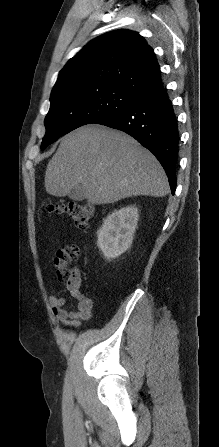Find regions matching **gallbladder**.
Returning a JSON list of instances; mask_svg holds the SVG:
<instances>
[{"mask_svg":"<svg viewBox=\"0 0 219 447\" xmlns=\"http://www.w3.org/2000/svg\"><path fill=\"white\" fill-rule=\"evenodd\" d=\"M68 197L74 201H83L86 199L85 189L82 185L74 187L68 194Z\"/></svg>","mask_w":219,"mask_h":447,"instance_id":"gallbladder-1","label":"gallbladder"}]
</instances>
